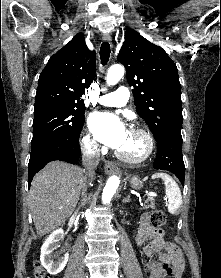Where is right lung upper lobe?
Returning <instances> with one entry per match:
<instances>
[{"label":"right lung upper lobe","mask_w":221,"mask_h":278,"mask_svg":"<svg viewBox=\"0 0 221 278\" xmlns=\"http://www.w3.org/2000/svg\"><path fill=\"white\" fill-rule=\"evenodd\" d=\"M96 71V54L78 33L54 54L39 76L35 107L74 106L85 109L82 94L89 88Z\"/></svg>","instance_id":"1"}]
</instances>
